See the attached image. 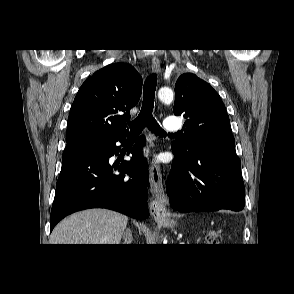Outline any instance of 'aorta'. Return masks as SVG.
I'll use <instances>...</instances> for the list:
<instances>
[{"label": "aorta", "instance_id": "1", "mask_svg": "<svg viewBox=\"0 0 294 294\" xmlns=\"http://www.w3.org/2000/svg\"><path fill=\"white\" fill-rule=\"evenodd\" d=\"M173 91L170 88L163 87L158 92V98L164 103H171L173 101Z\"/></svg>", "mask_w": 294, "mask_h": 294}]
</instances>
